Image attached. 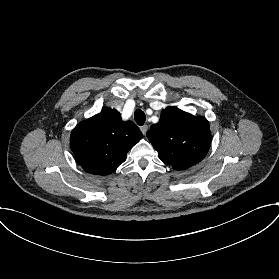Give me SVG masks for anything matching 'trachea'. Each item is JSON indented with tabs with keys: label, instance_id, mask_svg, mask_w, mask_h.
<instances>
[{
	"label": "trachea",
	"instance_id": "1",
	"mask_svg": "<svg viewBox=\"0 0 279 279\" xmlns=\"http://www.w3.org/2000/svg\"><path fill=\"white\" fill-rule=\"evenodd\" d=\"M134 118L135 121L137 122L138 125L142 126L146 120V116L144 112L140 109H137L134 113Z\"/></svg>",
	"mask_w": 279,
	"mask_h": 279
}]
</instances>
